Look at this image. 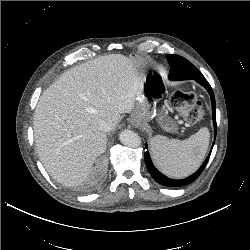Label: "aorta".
Instances as JSON below:
<instances>
[{"mask_svg": "<svg viewBox=\"0 0 250 250\" xmlns=\"http://www.w3.org/2000/svg\"><path fill=\"white\" fill-rule=\"evenodd\" d=\"M119 139L122 144L129 147H139L141 145L140 136L132 130L125 129L121 131Z\"/></svg>", "mask_w": 250, "mask_h": 250, "instance_id": "obj_1", "label": "aorta"}]
</instances>
